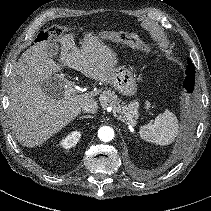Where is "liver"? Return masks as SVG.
I'll return each instance as SVG.
<instances>
[{
    "instance_id": "liver-1",
    "label": "liver",
    "mask_w": 211,
    "mask_h": 211,
    "mask_svg": "<svg viewBox=\"0 0 211 211\" xmlns=\"http://www.w3.org/2000/svg\"><path fill=\"white\" fill-rule=\"evenodd\" d=\"M74 33L57 39L61 43L60 63L48 55V42L27 49L20 57L10 83V122L22 146L42 144L69 124L81 112L83 105L95 102L98 91L81 95H66L62 90L56 98L49 96L43 85L62 67L80 71L85 76L111 84L115 72L116 55L93 32L85 33L82 50L74 41ZM62 88L68 83L61 79Z\"/></svg>"
}]
</instances>
